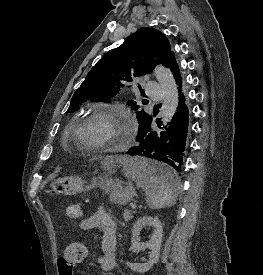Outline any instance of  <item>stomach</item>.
I'll return each instance as SVG.
<instances>
[{
    "instance_id": "0dacf381",
    "label": "stomach",
    "mask_w": 263,
    "mask_h": 275,
    "mask_svg": "<svg viewBox=\"0 0 263 275\" xmlns=\"http://www.w3.org/2000/svg\"><path fill=\"white\" fill-rule=\"evenodd\" d=\"M109 166H107V169ZM84 180L76 176L59 177L50 184V191L55 194L72 195L84 190ZM105 189L110 194V199L115 204H126L136 195L134 187L130 184L122 186L118 180L110 181Z\"/></svg>"
}]
</instances>
